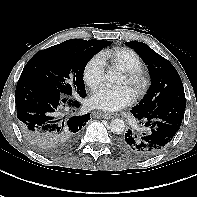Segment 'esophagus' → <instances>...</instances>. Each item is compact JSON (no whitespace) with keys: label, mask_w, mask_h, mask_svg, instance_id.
<instances>
[{"label":"esophagus","mask_w":197,"mask_h":197,"mask_svg":"<svg viewBox=\"0 0 197 197\" xmlns=\"http://www.w3.org/2000/svg\"><path fill=\"white\" fill-rule=\"evenodd\" d=\"M99 116L105 119H111V118L116 117V115L113 113H99Z\"/></svg>","instance_id":"34e87169"}]
</instances>
